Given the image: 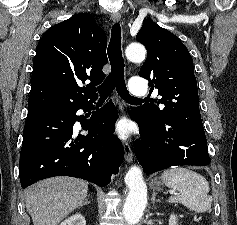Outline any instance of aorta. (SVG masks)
I'll return each mask as SVG.
<instances>
[{
  "label": "aorta",
  "mask_w": 237,
  "mask_h": 225,
  "mask_svg": "<svg viewBox=\"0 0 237 225\" xmlns=\"http://www.w3.org/2000/svg\"><path fill=\"white\" fill-rule=\"evenodd\" d=\"M126 57L132 62H142L146 56V49L140 44H130L125 51ZM124 181L129 193L124 204L123 216L128 224H136L143 215L147 204V187L143 180L142 171L132 166L125 175Z\"/></svg>",
  "instance_id": "obj_1"
}]
</instances>
